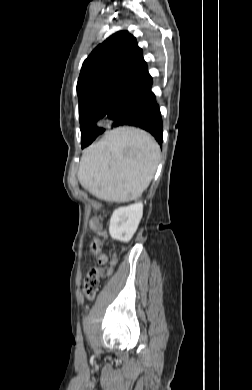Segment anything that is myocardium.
Here are the masks:
<instances>
[{
    "label": "myocardium",
    "instance_id": "1",
    "mask_svg": "<svg viewBox=\"0 0 252 390\" xmlns=\"http://www.w3.org/2000/svg\"><path fill=\"white\" fill-rule=\"evenodd\" d=\"M105 123H106V119H105L104 117H101V118H99V119L96 121V125H97V126H103Z\"/></svg>",
    "mask_w": 252,
    "mask_h": 390
}]
</instances>
